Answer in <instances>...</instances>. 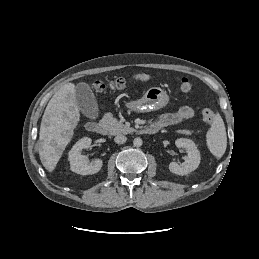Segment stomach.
Returning <instances> with one entry per match:
<instances>
[{"instance_id": "obj_1", "label": "stomach", "mask_w": 259, "mask_h": 259, "mask_svg": "<svg viewBox=\"0 0 259 259\" xmlns=\"http://www.w3.org/2000/svg\"><path fill=\"white\" fill-rule=\"evenodd\" d=\"M169 95L160 87H151L138 100L125 103V107L135 112L157 111L167 106Z\"/></svg>"}]
</instances>
